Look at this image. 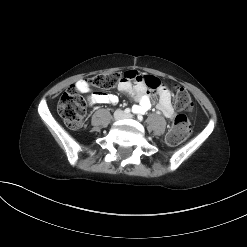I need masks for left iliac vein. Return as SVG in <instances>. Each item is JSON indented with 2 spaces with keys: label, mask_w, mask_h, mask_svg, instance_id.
<instances>
[{
  "label": "left iliac vein",
  "mask_w": 247,
  "mask_h": 247,
  "mask_svg": "<svg viewBox=\"0 0 247 247\" xmlns=\"http://www.w3.org/2000/svg\"><path fill=\"white\" fill-rule=\"evenodd\" d=\"M124 117L125 118H132V115L131 114H126Z\"/></svg>",
  "instance_id": "obj_1"
}]
</instances>
